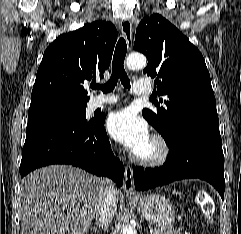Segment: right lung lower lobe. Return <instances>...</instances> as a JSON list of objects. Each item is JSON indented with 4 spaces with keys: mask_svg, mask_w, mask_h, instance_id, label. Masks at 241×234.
I'll return each mask as SVG.
<instances>
[{
    "mask_svg": "<svg viewBox=\"0 0 241 234\" xmlns=\"http://www.w3.org/2000/svg\"><path fill=\"white\" fill-rule=\"evenodd\" d=\"M104 122L105 117H97L83 124L45 121L27 125L21 177L39 167L68 164L107 176L120 187L124 168L113 155Z\"/></svg>",
    "mask_w": 241,
    "mask_h": 234,
    "instance_id": "right-lung-lower-lobe-1",
    "label": "right lung lower lobe"
}]
</instances>
